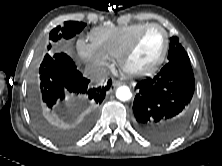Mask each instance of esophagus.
Instances as JSON below:
<instances>
[{
  "mask_svg": "<svg viewBox=\"0 0 222 166\" xmlns=\"http://www.w3.org/2000/svg\"><path fill=\"white\" fill-rule=\"evenodd\" d=\"M120 85H122V82H121V81H119V80H113V86H114V87H118V86H120Z\"/></svg>",
  "mask_w": 222,
  "mask_h": 166,
  "instance_id": "34e87169",
  "label": "esophagus"
}]
</instances>
